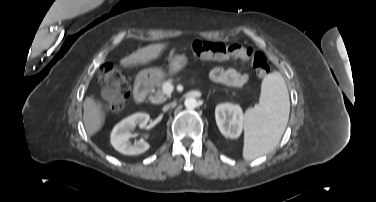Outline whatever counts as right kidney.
Here are the masks:
<instances>
[{"mask_svg":"<svg viewBox=\"0 0 376 202\" xmlns=\"http://www.w3.org/2000/svg\"><path fill=\"white\" fill-rule=\"evenodd\" d=\"M150 116L147 113L138 112L120 121L115 125L111 132L110 140L112 146L124 155H139L150 148V145L144 140L134 143L129 141L130 131L139 126L143 128L149 121Z\"/></svg>","mask_w":376,"mask_h":202,"instance_id":"right-kidney-1","label":"right kidney"}]
</instances>
